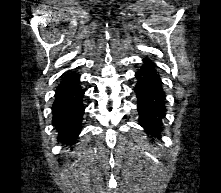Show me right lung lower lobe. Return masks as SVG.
<instances>
[{"mask_svg": "<svg viewBox=\"0 0 221 193\" xmlns=\"http://www.w3.org/2000/svg\"><path fill=\"white\" fill-rule=\"evenodd\" d=\"M83 97L79 76L70 71L63 74L52 105V124L58 132V140L63 144H74L81 132Z\"/></svg>", "mask_w": 221, "mask_h": 193, "instance_id": "1", "label": "right lung lower lobe"}]
</instances>
